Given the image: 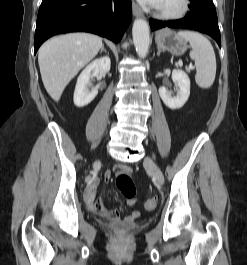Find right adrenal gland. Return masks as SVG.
I'll return each instance as SVG.
<instances>
[{
    "label": "right adrenal gland",
    "mask_w": 247,
    "mask_h": 265,
    "mask_svg": "<svg viewBox=\"0 0 247 265\" xmlns=\"http://www.w3.org/2000/svg\"><path fill=\"white\" fill-rule=\"evenodd\" d=\"M103 51L107 53L106 49L104 48V45L102 46L100 53H102Z\"/></svg>",
    "instance_id": "2a0ac1e0"
}]
</instances>
